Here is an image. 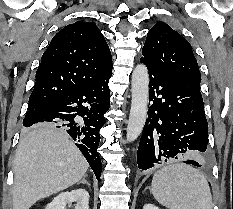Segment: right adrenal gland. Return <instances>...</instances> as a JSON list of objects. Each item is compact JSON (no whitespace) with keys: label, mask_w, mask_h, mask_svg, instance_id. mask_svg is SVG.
<instances>
[{"label":"right adrenal gland","mask_w":233,"mask_h":209,"mask_svg":"<svg viewBox=\"0 0 233 209\" xmlns=\"http://www.w3.org/2000/svg\"><path fill=\"white\" fill-rule=\"evenodd\" d=\"M87 174L84 175L81 181H79L77 184L83 183L87 184L90 187V183L86 180Z\"/></svg>","instance_id":"1"}]
</instances>
